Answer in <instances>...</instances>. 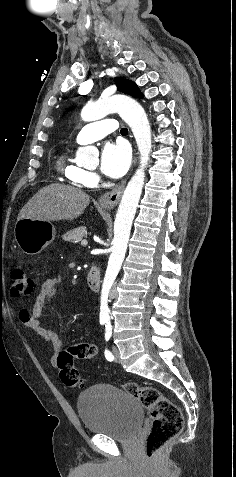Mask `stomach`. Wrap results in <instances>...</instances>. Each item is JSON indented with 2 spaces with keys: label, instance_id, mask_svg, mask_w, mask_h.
Returning a JSON list of instances; mask_svg holds the SVG:
<instances>
[{
  "label": "stomach",
  "instance_id": "1",
  "mask_svg": "<svg viewBox=\"0 0 236 477\" xmlns=\"http://www.w3.org/2000/svg\"><path fill=\"white\" fill-rule=\"evenodd\" d=\"M55 236V227L49 221L22 218L16 222L14 228L18 246L28 255L39 254Z\"/></svg>",
  "mask_w": 236,
  "mask_h": 477
}]
</instances>
